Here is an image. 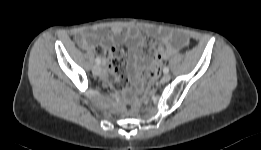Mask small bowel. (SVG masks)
I'll return each mask as SVG.
<instances>
[{
  "label": "small bowel",
  "mask_w": 261,
  "mask_h": 150,
  "mask_svg": "<svg viewBox=\"0 0 261 150\" xmlns=\"http://www.w3.org/2000/svg\"><path fill=\"white\" fill-rule=\"evenodd\" d=\"M145 34L156 40L149 45V48L152 52L158 53V58L151 61L143 56V48L147 45ZM75 39L81 48L97 51L105 59L106 80L109 86L115 89L120 88L123 82V75L118 66L120 51L115 44L123 43L127 46L128 73L130 79L135 81L142 68L153 70L154 76H157L162 62L174 56L189 41L182 32L154 26L146 28L132 26L124 34L120 26H113L109 32L83 29L76 33ZM157 41L162 42L164 47Z\"/></svg>",
  "instance_id": "small-bowel-1"
}]
</instances>
